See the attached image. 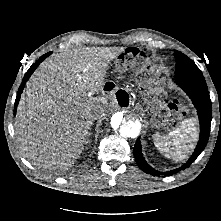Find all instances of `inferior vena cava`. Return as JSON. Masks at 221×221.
Listing matches in <instances>:
<instances>
[{"label": "inferior vena cava", "instance_id": "1", "mask_svg": "<svg viewBox=\"0 0 221 221\" xmlns=\"http://www.w3.org/2000/svg\"><path fill=\"white\" fill-rule=\"evenodd\" d=\"M92 116H93V119H94V120H97V121H98V120H101V119H102V116H103V115H102V112H101V111H98V110H97V111H94V112H93V115H92Z\"/></svg>", "mask_w": 221, "mask_h": 221}]
</instances>
